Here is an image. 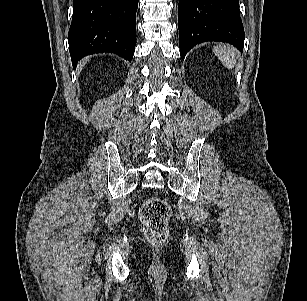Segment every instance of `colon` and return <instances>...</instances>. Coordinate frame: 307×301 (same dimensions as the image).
Wrapping results in <instances>:
<instances>
[{"label":"colon","instance_id":"obj_1","mask_svg":"<svg viewBox=\"0 0 307 301\" xmlns=\"http://www.w3.org/2000/svg\"><path fill=\"white\" fill-rule=\"evenodd\" d=\"M170 217L171 209L165 200L158 197L147 199L139 210L144 236L154 244L163 243L169 234Z\"/></svg>","mask_w":307,"mask_h":301}]
</instances>
